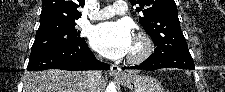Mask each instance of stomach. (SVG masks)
<instances>
[{
	"label": "stomach",
	"mask_w": 225,
	"mask_h": 92,
	"mask_svg": "<svg viewBox=\"0 0 225 92\" xmlns=\"http://www.w3.org/2000/svg\"><path fill=\"white\" fill-rule=\"evenodd\" d=\"M120 81L132 92H163L159 81L146 75L125 73L121 76Z\"/></svg>",
	"instance_id": "obj_1"
}]
</instances>
